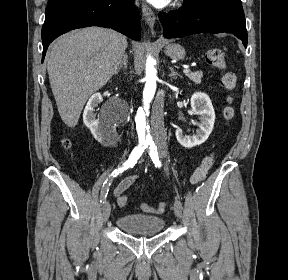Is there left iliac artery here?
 Returning a JSON list of instances; mask_svg holds the SVG:
<instances>
[{
    "label": "left iliac artery",
    "mask_w": 288,
    "mask_h": 280,
    "mask_svg": "<svg viewBox=\"0 0 288 280\" xmlns=\"http://www.w3.org/2000/svg\"><path fill=\"white\" fill-rule=\"evenodd\" d=\"M149 145V155L153 161V163L155 164L156 167L160 168L162 166L161 161L159 160V157L155 156V153L157 152V147L154 144L153 141L148 142ZM175 195V201H177V203H184V198H183V193H179L178 191L174 192Z\"/></svg>",
    "instance_id": "44dca946"
}]
</instances>
